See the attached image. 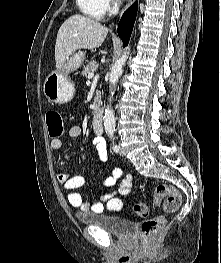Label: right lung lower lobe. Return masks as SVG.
<instances>
[{
	"mask_svg": "<svg viewBox=\"0 0 221 263\" xmlns=\"http://www.w3.org/2000/svg\"><path fill=\"white\" fill-rule=\"evenodd\" d=\"M138 3L135 2L130 8H128L123 14L119 25H118V35L122 39L123 47L128 45L134 22L137 15Z\"/></svg>",
	"mask_w": 221,
	"mask_h": 263,
	"instance_id": "obj_1",
	"label": "right lung lower lobe"
}]
</instances>
